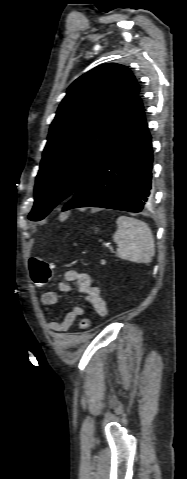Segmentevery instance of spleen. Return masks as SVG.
Masks as SVG:
<instances>
[{
  "label": "spleen",
  "mask_w": 187,
  "mask_h": 479,
  "mask_svg": "<svg viewBox=\"0 0 187 479\" xmlns=\"http://www.w3.org/2000/svg\"><path fill=\"white\" fill-rule=\"evenodd\" d=\"M116 224L113 241L118 245L117 256L130 262L150 263L155 255V244L149 226L127 216H119Z\"/></svg>",
  "instance_id": "obj_1"
}]
</instances>
